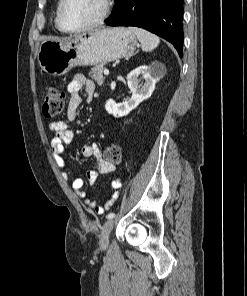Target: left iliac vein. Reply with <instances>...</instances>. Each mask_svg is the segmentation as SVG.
Returning a JSON list of instances; mask_svg holds the SVG:
<instances>
[{
	"label": "left iliac vein",
	"instance_id": "left-iliac-vein-1",
	"mask_svg": "<svg viewBox=\"0 0 247 296\" xmlns=\"http://www.w3.org/2000/svg\"><path fill=\"white\" fill-rule=\"evenodd\" d=\"M114 226V220L108 219L102 226L101 235H100V246L106 248L109 242V234L112 231Z\"/></svg>",
	"mask_w": 247,
	"mask_h": 296
}]
</instances>
